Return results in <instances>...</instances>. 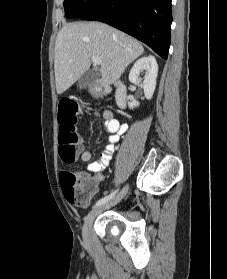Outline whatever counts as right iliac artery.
I'll list each match as a JSON object with an SVG mask.
<instances>
[{"label":"right iliac artery","instance_id":"1","mask_svg":"<svg viewBox=\"0 0 227 279\" xmlns=\"http://www.w3.org/2000/svg\"><path fill=\"white\" fill-rule=\"evenodd\" d=\"M118 192V190L112 192L110 195L100 199L95 206H99V205H102V204H105L106 202H108L109 200H111L115 195L116 193Z\"/></svg>","mask_w":227,"mask_h":279}]
</instances>
